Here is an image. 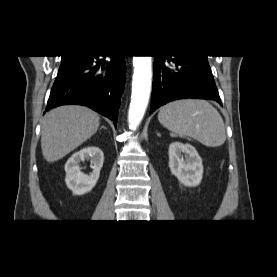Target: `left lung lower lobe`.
I'll return each instance as SVG.
<instances>
[{"instance_id": "obj_1", "label": "left lung lower lobe", "mask_w": 277, "mask_h": 277, "mask_svg": "<svg viewBox=\"0 0 277 277\" xmlns=\"http://www.w3.org/2000/svg\"><path fill=\"white\" fill-rule=\"evenodd\" d=\"M155 57L150 113L176 99H211L222 104L207 56Z\"/></svg>"}]
</instances>
